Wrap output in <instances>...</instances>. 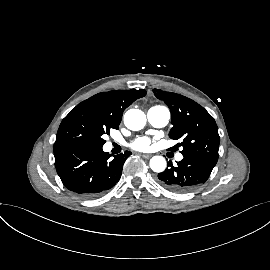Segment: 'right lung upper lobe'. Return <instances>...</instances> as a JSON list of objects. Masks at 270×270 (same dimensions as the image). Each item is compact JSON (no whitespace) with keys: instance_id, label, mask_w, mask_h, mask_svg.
Instances as JSON below:
<instances>
[{"instance_id":"cb5924a9","label":"right lung upper lobe","mask_w":270,"mask_h":270,"mask_svg":"<svg viewBox=\"0 0 270 270\" xmlns=\"http://www.w3.org/2000/svg\"><path fill=\"white\" fill-rule=\"evenodd\" d=\"M146 93L144 89L101 92L79 105L88 108L98 121L118 129L123 111L136 99L144 97Z\"/></svg>"}]
</instances>
